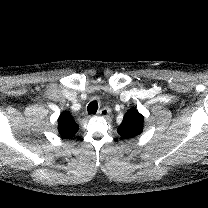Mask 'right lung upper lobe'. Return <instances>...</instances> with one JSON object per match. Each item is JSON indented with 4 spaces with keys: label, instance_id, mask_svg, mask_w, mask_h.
Wrapping results in <instances>:
<instances>
[{
    "label": "right lung upper lobe",
    "instance_id": "1",
    "mask_svg": "<svg viewBox=\"0 0 208 208\" xmlns=\"http://www.w3.org/2000/svg\"><path fill=\"white\" fill-rule=\"evenodd\" d=\"M79 130V126L74 121L69 112H62L58 118V131L62 138L69 139Z\"/></svg>",
    "mask_w": 208,
    "mask_h": 208
}]
</instances>
